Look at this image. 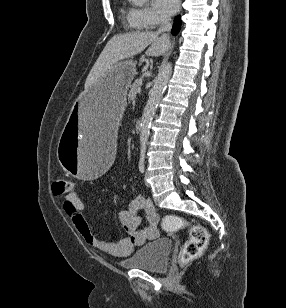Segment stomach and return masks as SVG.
<instances>
[{
  "label": "stomach",
  "mask_w": 286,
  "mask_h": 308,
  "mask_svg": "<svg viewBox=\"0 0 286 308\" xmlns=\"http://www.w3.org/2000/svg\"><path fill=\"white\" fill-rule=\"evenodd\" d=\"M136 75V62H119L104 77L85 90L64 118V137L56 149L60 165L78 177V182H99L105 168L116 159L111 132L120 125L128 89Z\"/></svg>",
  "instance_id": "obj_1"
}]
</instances>
